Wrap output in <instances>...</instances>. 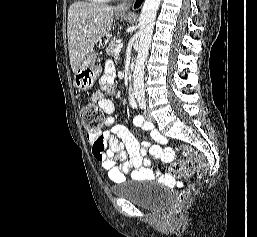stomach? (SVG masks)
<instances>
[{
    "instance_id": "stomach-1",
    "label": "stomach",
    "mask_w": 257,
    "mask_h": 237,
    "mask_svg": "<svg viewBox=\"0 0 257 237\" xmlns=\"http://www.w3.org/2000/svg\"><path fill=\"white\" fill-rule=\"evenodd\" d=\"M124 17V15H117V18ZM96 61V52L92 49L75 72L73 84L79 91L89 90L94 85L98 76Z\"/></svg>"
}]
</instances>
